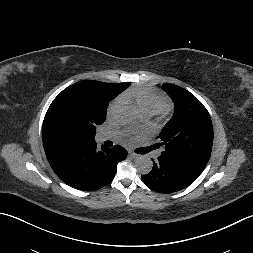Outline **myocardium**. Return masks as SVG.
Listing matches in <instances>:
<instances>
[{"label": "myocardium", "instance_id": "myocardium-1", "mask_svg": "<svg viewBox=\"0 0 253 253\" xmlns=\"http://www.w3.org/2000/svg\"><path fill=\"white\" fill-rule=\"evenodd\" d=\"M160 115L162 117H167L170 115L171 113V107L169 105H165L160 111H159Z\"/></svg>", "mask_w": 253, "mask_h": 253}]
</instances>
